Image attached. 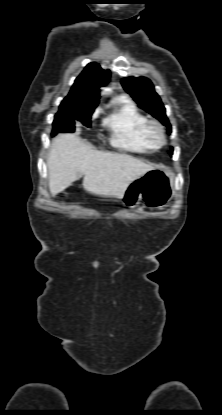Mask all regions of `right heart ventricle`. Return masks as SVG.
<instances>
[{"label": "right heart ventricle", "instance_id": "obj_1", "mask_svg": "<svg viewBox=\"0 0 222 415\" xmlns=\"http://www.w3.org/2000/svg\"><path fill=\"white\" fill-rule=\"evenodd\" d=\"M118 107L103 121V126L110 133L111 143L120 149L149 153L156 150L144 134L146 117L129 100L121 99Z\"/></svg>", "mask_w": 222, "mask_h": 415}]
</instances>
